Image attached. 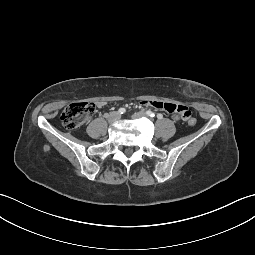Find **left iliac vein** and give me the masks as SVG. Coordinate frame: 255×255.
<instances>
[{
    "mask_svg": "<svg viewBox=\"0 0 255 255\" xmlns=\"http://www.w3.org/2000/svg\"><path fill=\"white\" fill-rule=\"evenodd\" d=\"M144 116H147V114L143 111H140V112L134 113L132 115V118L137 119V118L144 117Z\"/></svg>",
    "mask_w": 255,
    "mask_h": 255,
    "instance_id": "obj_1",
    "label": "left iliac vein"
}]
</instances>
